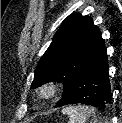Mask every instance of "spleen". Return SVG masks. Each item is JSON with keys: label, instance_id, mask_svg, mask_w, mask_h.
<instances>
[{"label": "spleen", "instance_id": "1", "mask_svg": "<svg viewBox=\"0 0 122 123\" xmlns=\"http://www.w3.org/2000/svg\"><path fill=\"white\" fill-rule=\"evenodd\" d=\"M63 114L69 116V123H98V115L95 108L88 106H69L62 110Z\"/></svg>", "mask_w": 122, "mask_h": 123}]
</instances>
